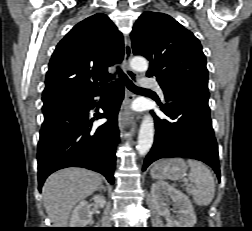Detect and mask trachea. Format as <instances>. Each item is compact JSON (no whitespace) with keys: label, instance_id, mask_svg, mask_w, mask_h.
I'll return each mask as SVG.
<instances>
[{"label":"trachea","instance_id":"1","mask_svg":"<svg viewBox=\"0 0 252 231\" xmlns=\"http://www.w3.org/2000/svg\"><path fill=\"white\" fill-rule=\"evenodd\" d=\"M117 73L119 74L120 78L123 80L126 87L132 92H139V91H148L147 89L137 87L132 83V81L126 76V74L120 69H117Z\"/></svg>","mask_w":252,"mask_h":231}]
</instances>
